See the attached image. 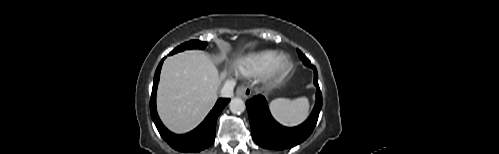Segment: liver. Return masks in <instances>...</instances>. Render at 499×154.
Returning a JSON list of instances; mask_svg holds the SVG:
<instances>
[{
	"instance_id": "6515ba94",
	"label": "liver",
	"mask_w": 499,
	"mask_h": 154,
	"mask_svg": "<svg viewBox=\"0 0 499 154\" xmlns=\"http://www.w3.org/2000/svg\"><path fill=\"white\" fill-rule=\"evenodd\" d=\"M214 63L198 50L168 57L163 64L157 93L158 113L165 126L175 133L194 129L209 113L218 98L221 81Z\"/></svg>"
}]
</instances>
